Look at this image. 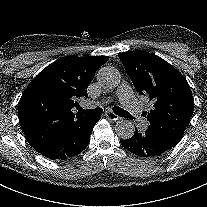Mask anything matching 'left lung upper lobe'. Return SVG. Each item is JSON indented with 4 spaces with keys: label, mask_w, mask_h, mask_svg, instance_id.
Listing matches in <instances>:
<instances>
[{
    "label": "left lung upper lobe",
    "mask_w": 207,
    "mask_h": 207,
    "mask_svg": "<svg viewBox=\"0 0 207 207\" xmlns=\"http://www.w3.org/2000/svg\"><path fill=\"white\" fill-rule=\"evenodd\" d=\"M136 91L153 103L143 112L149 130L176 146L184 135L194 109L193 96L185 77L161 57L145 51L118 54Z\"/></svg>",
    "instance_id": "1"
}]
</instances>
